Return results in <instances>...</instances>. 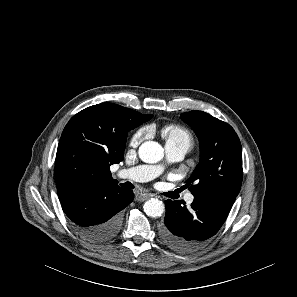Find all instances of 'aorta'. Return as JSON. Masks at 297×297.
Listing matches in <instances>:
<instances>
[{
	"label": "aorta",
	"instance_id": "obj_1",
	"mask_svg": "<svg viewBox=\"0 0 297 297\" xmlns=\"http://www.w3.org/2000/svg\"><path fill=\"white\" fill-rule=\"evenodd\" d=\"M138 154L140 159L146 163H157L164 156V149L155 141H146L139 147ZM144 212L150 217H160L164 212V204L162 201L151 198L145 202Z\"/></svg>",
	"mask_w": 297,
	"mask_h": 297
}]
</instances>
